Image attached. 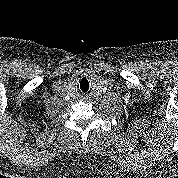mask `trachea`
<instances>
[{
    "mask_svg": "<svg viewBox=\"0 0 178 178\" xmlns=\"http://www.w3.org/2000/svg\"><path fill=\"white\" fill-rule=\"evenodd\" d=\"M79 91L82 93H86L90 90V83L86 77H83L78 82Z\"/></svg>",
    "mask_w": 178,
    "mask_h": 178,
    "instance_id": "trachea-1",
    "label": "trachea"
}]
</instances>
